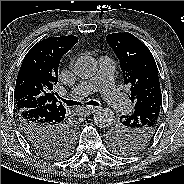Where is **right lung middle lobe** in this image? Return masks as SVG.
<instances>
[{
  "mask_svg": "<svg viewBox=\"0 0 184 184\" xmlns=\"http://www.w3.org/2000/svg\"><path fill=\"white\" fill-rule=\"evenodd\" d=\"M74 143V127L66 131L62 144L57 148H49L39 151L46 157L49 158H60L69 154Z\"/></svg>",
  "mask_w": 184,
  "mask_h": 184,
  "instance_id": "obj_1",
  "label": "right lung middle lobe"
}]
</instances>
